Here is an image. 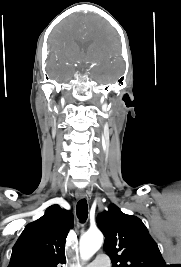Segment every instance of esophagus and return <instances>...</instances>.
I'll return each instance as SVG.
<instances>
[{"instance_id":"esophagus-1","label":"esophagus","mask_w":181,"mask_h":267,"mask_svg":"<svg viewBox=\"0 0 181 267\" xmlns=\"http://www.w3.org/2000/svg\"><path fill=\"white\" fill-rule=\"evenodd\" d=\"M76 197H77L78 199H84V198L87 197V194H86V192H85L84 190H78V191L76 192Z\"/></svg>"}]
</instances>
